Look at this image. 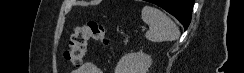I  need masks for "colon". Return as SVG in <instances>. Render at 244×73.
<instances>
[{"mask_svg":"<svg viewBox=\"0 0 244 73\" xmlns=\"http://www.w3.org/2000/svg\"><path fill=\"white\" fill-rule=\"evenodd\" d=\"M91 40L100 43H105L107 40L105 26L95 20H88L74 28L69 48L65 52L66 60L75 66H81Z\"/></svg>","mask_w":244,"mask_h":73,"instance_id":"obj_1","label":"colon"}]
</instances>
